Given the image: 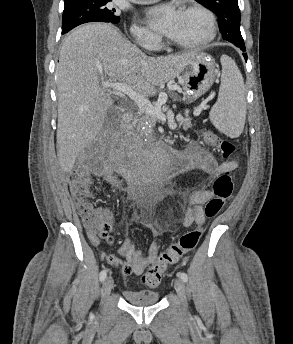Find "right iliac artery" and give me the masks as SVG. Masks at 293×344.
<instances>
[{
	"label": "right iliac artery",
	"instance_id": "82829eb1",
	"mask_svg": "<svg viewBox=\"0 0 293 344\" xmlns=\"http://www.w3.org/2000/svg\"><path fill=\"white\" fill-rule=\"evenodd\" d=\"M106 275H107V269H103L99 274V278H100L101 282H103L105 280Z\"/></svg>",
	"mask_w": 293,
	"mask_h": 344
}]
</instances>
